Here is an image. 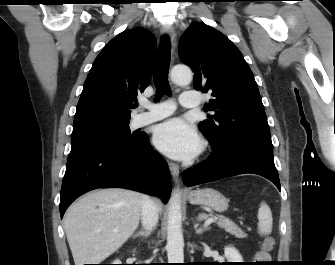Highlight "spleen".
<instances>
[{"label": "spleen", "mask_w": 335, "mask_h": 265, "mask_svg": "<svg viewBox=\"0 0 335 265\" xmlns=\"http://www.w3.org/2000/svg\"><path fill=\"white\" fill-rule=\"evenodd\" d=\"M258 231L260 234H270L272 231V213L269 206L262 202L258 210Z\"/></svg>", "instance_id": "obj_1"}]
</instances>
